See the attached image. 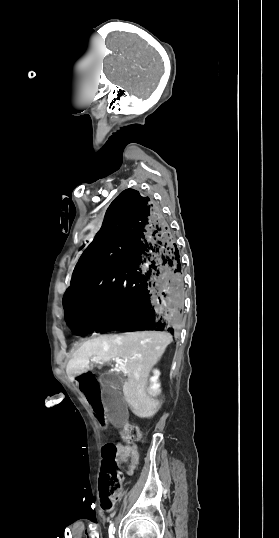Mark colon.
<instances>
[{"label":"colon","mask_w":279,"mask_h":538,"mask_svg":"<svg viewBox=\"0 0 279 538\" xmlns=\"http://www.w3.org/2000/svg\"><path fill=\"white\" fill-rule=\"evenodd\" d=\"M122 439L128 445L141 440V432L134 424H127L121 431ZM102 470L100 476V497L102 506L109 511L113 508L122 489L123 477L116 470L118 452L113 444H105L102 449Z\"/></svg>","instance_id":"obj_1"}]
</instances>
